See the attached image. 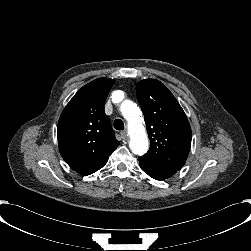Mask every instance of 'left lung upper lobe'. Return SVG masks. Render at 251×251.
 <instances>
[{
  "label": "left lung upper lobe",
  "mask_w": 251,
  "mask_h": 251,
  "mask_svg": "<svg viewBox=\"0 0 251 251\" xmlns=\"http://www.w3.org/2000/svg\"><path fill=\"white\" fill-rule=\"evenodd\" d=\"M136 93L150 139V149L144 157L179 171L186 162L192 139L183 109L158 80L138 82Z\"/></svg>",
  "instance_id": "left-lung-upper-lobe-1"
}]
</instances>
